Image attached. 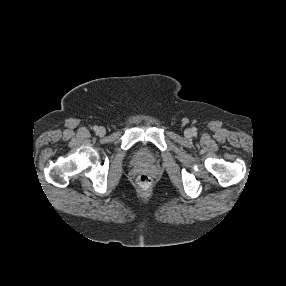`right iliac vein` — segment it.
Wrapping results in <instances>:
<instances>
[{
  "label": "right iliac vein",
  "instance_id": "1",
  "mask_svg": "<svg viewBox=\"0 0 286 286\" xmlns=\"http://www.w3.org/2000/svg\"><path fill=\"white\" fill-rule=\"evenodd\" d=\"M98 135L104 136L106 133V129L104 127H99L97 130Z\"/></svg>",
  "mask_w": 286,
  "mask_h": 286
}]
</instances>
